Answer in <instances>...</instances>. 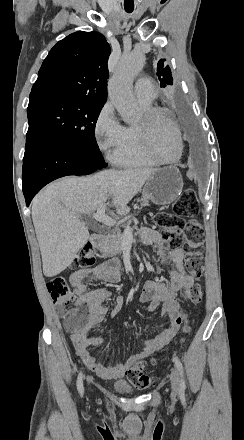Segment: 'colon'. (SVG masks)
Returning <instances> with one entry per match:
<instances>
[{
    "instance_id": "obj_1",
    "label": "colon",
    "mask_w": 244,
    "mask_h": 440,
    "mask_svg": "<svg viewBox=\"0 0 244 440\" xmlns=\"http://www.w3.org/2000/svg\"><path fill=\"white\" fill-rule=\"evenodd\" d=\"M199 206L193 189L183 192L181 198L174 205L172 213H159L156 216V223L163 229L165 244L172 249H178L182 245L186 252V267L191 275L201 280L204 276V263L202 257V243L204 229L197 220ZM81 258L74 262V272H87L88 261L82 257H94V248H81ZM46 286L54 302L59 316L65 318L69 329L78 330L83 327L85 313L89 312L88 304H78L75 295L70 291L66 281L62 277H50ZM183 298L188 302L198 303L203 299V286L196 284L184 289ZM189 332L188 320L183 326V333ZM184 339L179 340L182 346ZM157 365L155 358L138 360L129 372L128 380L136 385H145L148 382V373H144L149 367Z\"/></svg>"
}]
</instances>
